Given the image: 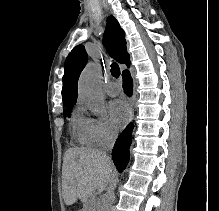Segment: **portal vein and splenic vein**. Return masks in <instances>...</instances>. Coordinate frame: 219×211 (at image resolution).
Returning <instances> with one entry per match:
<instances>
[{"instance_id": "1", "label": "portal vein and splenic vein", "mask_w": 219, "mask_h": 211, "mask_svg": "<svg viewBox=\"0 0 219 211\" xmlns=\"http://www.w3.org/2000/svg\"><path fill=\"white\" fill-rule=\"evenodd\" d=\"M94 203H99V199H94Z\"/></svg>"}]
</instances>
